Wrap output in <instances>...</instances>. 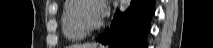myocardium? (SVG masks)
<instances>
[{
    "mask_svg": "<svg viewBox=\"0 0 213 48\" xmlns=\"http://www.w3.org/2000/svg\"><path fill=\"white\" fill-rule=\"evenodd\" d=\"M79 4L76 7V19L79 23V25L82 27L84 31L87 33H92L94 31H97L101 28L102 26V19L99 20L96 23H89L86 19V17L83 14V8L85 5L90 1V0H79Z\"/></svg>",
    "mask_w": 213,
    "mask_h": 48,
    "instance_id": "myocardium-1",
    "label": "myocardium"
}]
</instances>
